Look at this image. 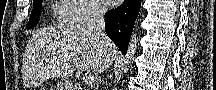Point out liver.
<instances>
[{
	"mask_svg": "<svg viewBox=\"0 0 216 90\" xmlns=\"http://www.w3.org/2000/svg\"><path fill=\"white\" fill-rule=\"evenodd\" d=\"M109 44L113 60L118 50L111 40ZM26 54L38 56L40 70L49 78L73 76L76 70L98 72L105 64L99 36L88 32L81 22H71L63 28H45L31 40Z\"/></svg>",
	"mask_w": 216,
	"mask_h": 90,
	"instance_id": "obj_1",
	"label": "liver"
}]
</instances>
